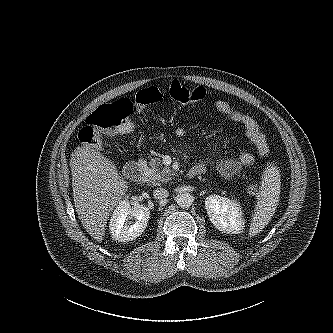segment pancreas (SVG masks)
Instances as JSON below:
<instances>
[{
  "mask_svg": "<svg viewBox=\"0 0 333 333\" xmlns=\"http://www.w3.org/2000/svg\"><path fill=\"white\" fill-rule=\"evenodd\" d=\"M149 168H147L146 175L148 182L152 185H160L171 180L173 172L166 166H162V162L159 158H152L149 162Z\"/></svg>",
  "mask_w": 333,
  "mask_h": 333,
  "instance_id": "obj_1",
  "label": "pancreas"
}]
</instances>
